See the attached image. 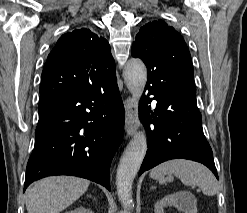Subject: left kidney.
Masks as SVG:
<instances>
[{
    "label": "left kidney",
    "instance_id": "left-kidney-1",
    "mask_svg": "<svg viewBox=\"0 0 247 213\" xmlns=\"http://www.w3.org/2000/svg\"><path fill=\"white\" fill-rule=\"evenodd\" d=\"M174 206L184 213H197L196 199L189 192L170 194L155 204V213H164V207Z\"/></svg>",
    "mask_w": 247,
    "mask_h": 213
}]
</instances>
